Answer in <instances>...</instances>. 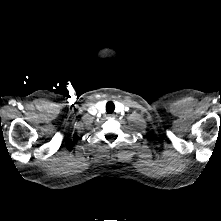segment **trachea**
Wrapping results in <instances>:
<instances>
[{
  "label": "trachea",
  "instance_id": "obj_1",
  "mask_svg": "<svg viewBox=\"0 0 221 221\" xmlns=\"http://www.w3.org/2000/svg\"><path fill=\"white\" fill-rule=\"evenodd\" d=\"M114 108H115V106H114L113 102L110 101L106 104L107 113H112L114 111Z\"/></svg>",
  "mask_w": 221,
  "mask_h": 221
}]
</instances>
